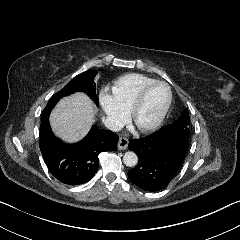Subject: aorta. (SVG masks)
Segmentation results:
<instances>
[{"mask_svg": "<svg viewBox=\"0 0 240 240\" xmlns=\"http://www.w3.org/2000/svg\"><path fill=\"white\" fill-rule=\"evenodd\" d=\"M123 162L126 166H135L138 162V157L134 151H126L123 155Z\"/></svg>", "mask_w": 240, "mask_h": 240, "instance_id": "762f6f07", "label": "aorta"}]
</instances>
